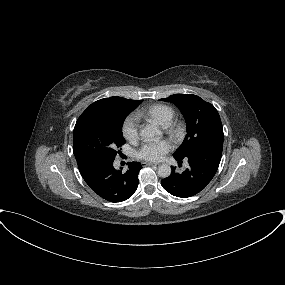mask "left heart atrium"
Here are the masks:
<instances>
[{
    "instance_id": "1",
    "label": "left heart atrium",
    "mask_w": 285,
    "mask_h": 285,
    "mask_svg": "<svg viewBox=\"0 0 285 285\" xmlns=\"http://www.w3.org/2000/svg\"><path fill=\"white\" fill-rule=\"evenodd\" d=\"M173 148L167 140L150 141L142 145L138 151V156L147 161H159L166 153Z\"/></svg>"
}]
</instances>
